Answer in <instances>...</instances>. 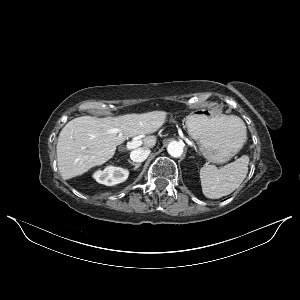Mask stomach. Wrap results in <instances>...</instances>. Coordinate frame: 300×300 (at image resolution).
<instances>
[{"label":"stomach","instance_id":"stomach-1","mask_svg":"<svg viewBox=\"0 0 300 300\" xmlns=\"http://www.w3.org/2000/svg\"><path fill=\"white\" fill-rule=\"evenodd\" d=\"M186 125L201 154L212 163L229 161L245 142L243 132L234 126L232 119L212 115L208 110L191 113Z\"/></svg>","mask_w":300,"mask_h":300}]
</instances>
